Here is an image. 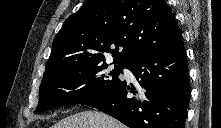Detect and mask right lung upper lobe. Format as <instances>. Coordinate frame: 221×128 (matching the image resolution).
I'll return each instance as SVG.
<instances>
[{"instance_id": "obj_1", "label": "right lung upper lobe", "mask_w": 221, "mask_h": 128, "mask_svg": "<svg viewBox=\"0 0 221 128\" xmlns=\"http://www.w3.org/2000/svg\"><path fill=\"white\" fill-rule=\"evenodd\" d=\"M182 41L164 0H89L54 38L46 71L75 61L103 62L104 52L112 53L113 63L126 65Z\"/></svg>"}]
</instances>
